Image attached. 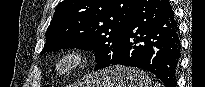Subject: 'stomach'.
Listing matches in <instances>:
<instances>
[{
    "label": "stomach",
    "mask_w": 205,
    "mask_h": 87,
    "mask_svg": "<svg viewBox=\"0 0 205 87\" xmlns=\"http://www.w3.org/2000/svg\"><path fill=\"white\" fill-rule=\"evenodd\" d=\"M149 76L138 68L116 66L90 74L77 87H150Z\"/></svg>",
    "instance_id": "1"
}]
</instances>
